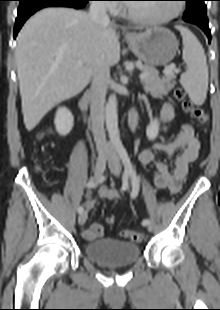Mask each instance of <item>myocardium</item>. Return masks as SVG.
<instances>
[{"instance_id":"f54148a6","label":"myocardium","mask_w":220,"mask_h":310,"mask_svg":"<svg viewBox=\"0 0 220 310\" xmlns=\"http://www.w3.org/2000/svg\"><path fill=\"white\" fill-rule=\"evenodd\" d=\"M182 11H183L182 5L179 2H177V4H175V8L173 12L162 18L151 19V18L137 15L131 12L128 9V6L124 7L123 14L129 19H131L132 21L137 22V23H141L145 25H162V24H166L176 19L182 13Z\"/></svg>"}]
</instances>
